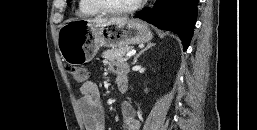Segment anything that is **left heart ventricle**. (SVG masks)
<instances>
[{"instance_id":"obj_1","label":"left heart ventricle","mask_w":257,"mask_h":130,"mask_svg":"<svg viewBox=\"0 0 257 130\" xmlns=\"http://www.w3.org/2000/svg\"><path fill=\"white\" fill-rule=\"evenodd\" d=\"M106 6L114 8H125L133 5L137 0H99Z\"/></svg>"}]
</instances>
